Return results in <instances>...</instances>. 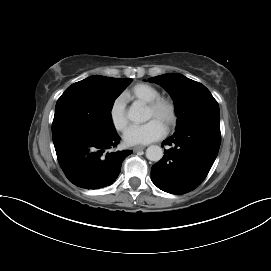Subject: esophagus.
<instances>
[{"label":"esophagus","mask_w":271,"mask_h":271,"mask_svg":"<svg viewBox=\"0 0 271 271\" xmlns=\"http://www.w3.org/2000/svg\"><path fill=\"white\" fill-rule=\"evenodd\" d=\"M145 149V146H135L134 148H133V151L134 152H138V151H141V150H144Z\"/></svg>","instance_id":"obj_1"}]
</instances>
